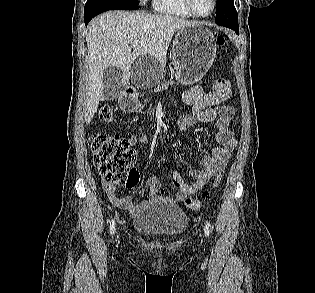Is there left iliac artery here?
Instances as JSON below:
<instances>
[{
    "label": "left iliac artery",
    "mask_w": 315,
    "mask_h": 293,
    "mask_svg": "<svg viewBox=\"0 0 315 293\" xmlns=\"http://www.w3.org/2000/svg\"><path fill=\"white\" fill-rule=\"evenodd\" d=\"M204 232L206 236H209L210 233V223L206 222L204 227Z\"/></svg>",
    "instance_id": "left-iliac-artery-1"
}]
</instances>
